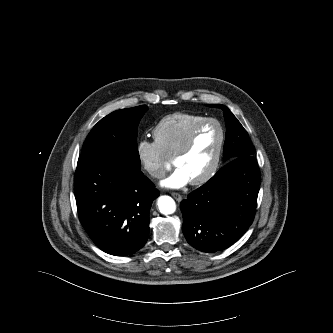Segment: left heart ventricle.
<instances>
[{"instance_id": "left-heart-ventricle-1", "label": "left heart ventricle", "mask_w": 333, "mask_h": 333, "mask_svg": "<svg viewBox=\"0 0 333 333\" xmlns=\"http://www.w3.org/2000/svg\"><path fill=\"white\" fill-rule=\"evenodd\" d=\"M220 141V132L215 124L204 126L196 135L191 150L174 161L188 175L190 181L201 177L211 167Z\"/></svg>"}]
</instances>
